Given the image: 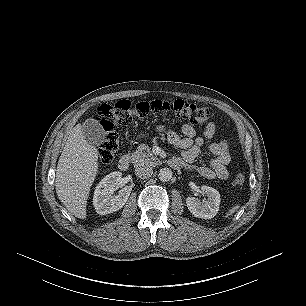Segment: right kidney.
I'll return each instance as SVG.
<instances>
[{
    "label": "right kidney",
    "instance_id": "right-kidney-1",
    "mask_svg": "<svg viewBox=\"0 0 306 306\" xmlns=\"http://www.w3.org/2000/svg\"><path fill=\"white\" fill-rule=\"evenodd\" d=\"M121 172H112L104 177L96 186L93 205L99 215H106L121 209L128 200L132 188L125 186L119 193L112 196L121 180Z\"/></svg>",
    "mask_w": 306,
    "mask_h": 306
}]
</instances>
